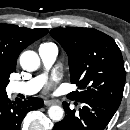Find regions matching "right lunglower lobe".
I'll return each mask as SVG.
<instances>
[{"label":"right lung lower lobe","instance_id":"right-lung-lower-lobe-1","mask_svg":"<svg viewBox=\"0 0 130 130\" xmlns=\"http://www.w3.org/2000/svg\"><path fill=\"white\" fill-rule=\"evenodd\" d=\"M43 100L29 97L27 100L11 102L5 91L0 92V130H20L27 112L43 106Z\"/></svg>","mask_w":130,"mask_h":130}]
</instances>
